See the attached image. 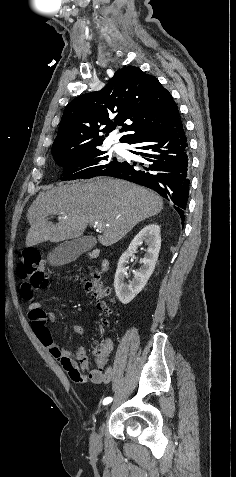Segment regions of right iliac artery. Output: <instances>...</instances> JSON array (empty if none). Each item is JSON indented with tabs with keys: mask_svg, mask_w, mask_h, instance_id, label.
Instances as JSON below:
<instances>
[{
	"mask_svg": "<svg viewBox=\"0 0 236 477\" xmlns=\"http://www.w3.org/2000/svg\"><path fill=\"white\" fill-rule=\"evenodd\" d=\"M113 403V398L112 397H106L104 398V400L102 401V404L103 405H108V404H112Z\"/></svg>",
	"mask_w": 236,
	"mask_h": 477,
	"instance_id": "82829eb1",
	"label": "right iliac artery"
}]
</instances>
